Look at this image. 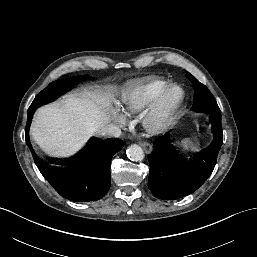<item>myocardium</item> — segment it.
I'll return each instance as SVG.
<instances>
[{
    "label": "myocardium",
    "mask_w": 257,
    "mask_h": 257,
    "mask_svg": "<svg viewBox=\"0 0 257 257\" xmlns=\"http://www.w3.org/2000/svg\"><path fill=\"white\" fill-rule=\"evenodd\" d=\"M177 89L179 97L174 102L168 101L169 93ZM185 99L183 88L176 84H167L146 111L142 124L145 131L150 135L162 133L170 124L173 116L179 110Z\"/></svg>",
    "instance_id": "myocardium-1"
}]
</instances>
